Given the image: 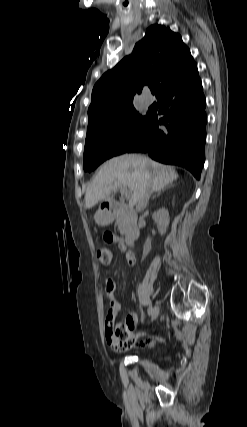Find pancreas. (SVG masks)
Returning a JSON list of instances; mask_svg holds the SVG:
<instances>
[{"mask_svg":"<svg viewBox=\"0 0 247 427\" xmlns=\"http://www.w3.org/2000/svg\"><path fill=\"white\" fill-rule=\"evenodd\" d=\"M116 223L118 224V228L121 234L126 233V227L128 223V218L125 211L121 210L118 212L116 217Z\"/></svg>","mask_w":247,"mask_h":427,"instance_id":"1","label":"pancreas"}]
</instances>
